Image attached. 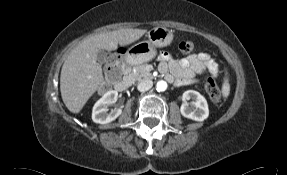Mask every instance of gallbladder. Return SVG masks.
I'll return each mask as SVG.
<instances>
[{
	"label": "gallbladder",
	"instance_id": "obj_1",
	"mask_svg": "<svg viewBox=\"0 0 287 175\" xmlns=\"http://www.w3.org/2000/svg\"><path fill=\"white\" fill-rule=\"evenodd\" d=\"M107 61V54L104 50H99L97 53V62L99 64H105Z\"/></svg>",
	"mask_w": 287,
	"mask_h": 175
}]
</instances>
